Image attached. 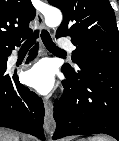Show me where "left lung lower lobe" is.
Listing matches in <instances>:
<instances>
[{
	"label": "left lung lower lobe",
	"instance_id": "left-lung-lower-lobe-1",
	"mask_svg": "<svg viewBox=\"0 0 119 141\" xmlns=\"http://www.w3.org/2000/svg\"><path fill=\"white\" fill-rule=\"evenodd\" d=\"M61 70L67 80L54 105L53 139L104 133L119 141V65L97 63L81 65L75 72Z\"/></svg>",
	"mask_w": 119,
	"mask_h": 141
}]
</instances>
